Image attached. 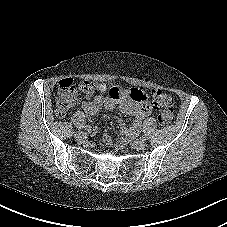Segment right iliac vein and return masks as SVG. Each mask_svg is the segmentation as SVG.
<instances>
[{
  "mask_svg": "<svg viewBox=\"0 0 227 227\" xmlns=\"http://www.w3.org/2000/svg\"><path fill=\"white\" fill-rule=\"evenodd\" d=\"M87 136V133L86 132H83V131H78L76 134H75V137L76 139H83Z\"/></svg>",
  "mask_w": 227,
  "mask_h": 227,
  "instance_id": "obj_1",
  "label": "right iliac vein"
}]
</instances>
